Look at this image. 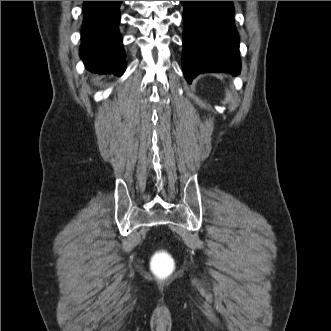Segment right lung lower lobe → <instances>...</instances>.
Returning <instances> with one entry per match:
<instances>
[{
    "label": "right lung lower lobe",
    "mask_w": 331,
    "mask_h": 331,
    "mask_svg": "<svg viewBox=\"0 0 331 331\" xmlns=\"http://www.w3.org/2000/svg\"><path fill=\"white\" fill-rule=\"evenodd\" d=\"M122 1H84L80 56L95 72L123 74L125 54L118 32Z\"/></svg>",
    "instance_id": "right-lung-lower-lobe-1"
}]
</instances>
